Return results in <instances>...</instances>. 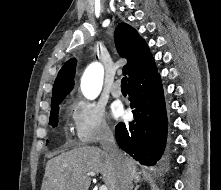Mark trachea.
Wrapping results in <instances>:
<instances>
[{
    "instance_id": "trachea-1",
    "label": "trachea",
    "mask_w": 221,
    "mask_h": 190,
    "mask_svg": "<svg viewBox=\"0 0 221 190\" xmlns=\"http://www.w3.org/2000/svg\"><path fill=\"white\" fill-rule=\"evenodd\" d=\"M127 77H124L122 80H121V89H127Z\"/></svg>"
}]
</instances>
